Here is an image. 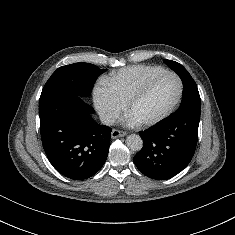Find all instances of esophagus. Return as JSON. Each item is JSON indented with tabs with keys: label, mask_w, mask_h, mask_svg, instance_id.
I'll return each instance as SVG.
<instances>
[{
	"label": "esophagus",
	"mask_w": 235,
	"mask_h": 235,
	"mask_svg": "<svg viewBox=\"0 0 235 235\" xmlns=\"http://www.w3.org/2000/svg\"><path fill=\"white\" fill-rule=\"evenodd\" d=\"M127 133L125 131H121V130H117V129H113L111 132V138L115 139L118 137H123L125 136Z\"/></svg>",
	"instance_id": "34e87169"
}]
</instances>
